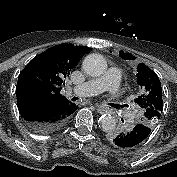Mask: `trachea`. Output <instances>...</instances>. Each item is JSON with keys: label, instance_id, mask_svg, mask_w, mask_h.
<instances>
[{"label": "trachea", "instance_id": "obj_1", "mask_svg": "<svg viewBox=\"0 0 177 177\" xmlns=\"http://www.w3.org/2000/svg\"><path fill=\"white\" fill-rule=\"evenodd\" d=\"M76 100H78L77 97H73V98H72V101H76Z\"/></svg>", "mask_w": 177, "mask_h": 177}]
</instances>
